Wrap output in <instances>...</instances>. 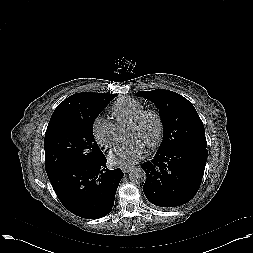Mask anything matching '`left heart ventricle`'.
Listing matches in <instances>:
<instances>
[{
    "mask_svg": "<svg viewBox=\"0 0 253 253\" xmlns=\"http://www.w3.org/2000/svg\"><path fill=\"white\" fill-rule=\"evenodd\" d=\"M157 134V121L153 116L146 117L137 127L127 128V139H138L147 147L153 142Z\"/></svg>",
    "mask_w": 253,
    "mask_h": 253,
    "instance_id": "obj_1",
    "label": "left heart ventricle"
}]
</instances>
